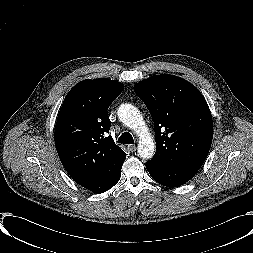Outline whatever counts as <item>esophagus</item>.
Listing matches in <instances>:
<instances>
[{
	"label": "esophagus",
	"mask_w": 253,
	"mask_h": 253,
	"mask_svg": "<svg viewBox=\"0 0 253 253\" xmlns=\"http://www.w3.org/2000/svg\"><path fill=\"white\" fill-rule=\"evenodd\" d=\"M128 149H129L130 152H135L136 149H137V146L136 145H129Z\"/></svg>",
	"instance_id": "34e87169"
}]
</instances>
